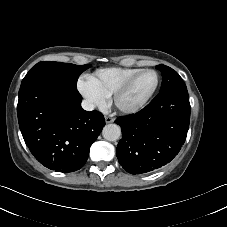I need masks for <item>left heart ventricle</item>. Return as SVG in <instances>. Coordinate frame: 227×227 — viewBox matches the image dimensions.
I'll return each instance as SVG.
<instances>
[{"instance_id": "b2bd125f", "label": "left heart ventricle", "mask_w": 227, "mask_h": 227, "mask_svg": "<svg viewBox=\"0 0 227 227\" xmlns=\"http://www.w3.org/2000/svg\"><path fill=\"white\" fill-rule=\"evenodd\" d=\"M156 82V76L152 72L138 76L130 89L119 99L122 107H133L139 104L150 93Z\"/></svg>"}]
</instances>
